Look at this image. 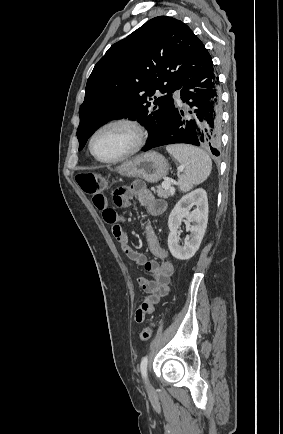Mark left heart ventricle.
Segmentation results:
<instances>
[{
  "mask_svg": "<svg viewBox=\"0 0 283 434\" xmlns=\"http://www.w3.org/2000/svg\"><path fill=\"white\" fill-rule=\"evenodd\" d=\"M134 134L126 126L108 127L95 137L93 149L101 158H115L127 152L133 145Z\"/></svg>",
  "mask_w": 283,
  "mask_h": 434,
  "instance_id": "1",
  "label": "left heart ventricle"
}]
</instances>
